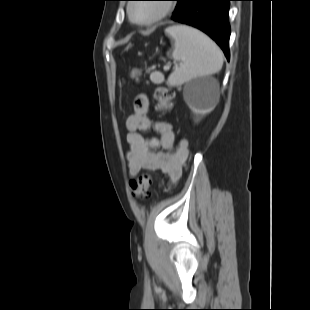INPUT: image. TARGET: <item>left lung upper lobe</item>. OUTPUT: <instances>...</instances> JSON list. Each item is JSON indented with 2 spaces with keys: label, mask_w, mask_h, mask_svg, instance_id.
<instances>
[{
  "label": "left lung upper lobe",
  "mask_w": 310,
  "mask_h": 310,
  "mask_svg": "<svg viewBox=\"0 0 310 310\" xmlns=\"http://www.w3.org/2000/svg\"><path fill=\"white\" fill-rule=\"evenodd\" d=\"M175 1H177L178 4H177V7H176V9H175V11L173 13L172 18H174L177 14H179V12L182 10V8H183V6H184V4L186 2V0H175Z\"/></svg>",
  "instance_id": "obj_1"
}]
</instances>
